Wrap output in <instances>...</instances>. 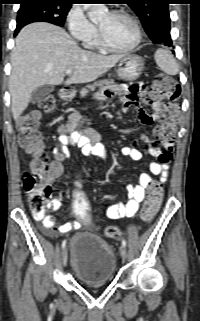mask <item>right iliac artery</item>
<instances>
[{"label": "right iliac artery", "mask_w": 200, "mask_h": 321, "mask_svg": "<svg viewBox=\"0 0 200 321\" xmlns=\"http://www.w3.org/2000/svg\"><path fill=\"white\" fill-rule=\"evenodd\" d=\"M65 246H66V240H64V241L62 242L61 247H62V248H65Z\"/></svg>", "instance_id": "obj_1"}]
</instances>
